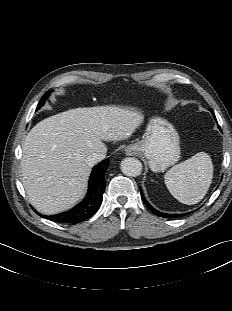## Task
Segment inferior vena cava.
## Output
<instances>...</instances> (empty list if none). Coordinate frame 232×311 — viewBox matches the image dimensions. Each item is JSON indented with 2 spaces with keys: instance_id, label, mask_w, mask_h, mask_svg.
<instances>
[{
  "instance_id": "1",
  "label": "inferior vena cava",
  "mask_w": 232,
  "mask_h": 311,
  "mask_svg": "<svg viewBox=\"0 0 232 311\" xmlns=\"http://www.w3.org/2000/svg\"><path fill=\"white\" fill-rule=\"evenodd\" d=\"M105 154L104 153H93L90 156L87 157L86 162L89 166H94L95 164H97L98 162H100L101 160H103L105 158Z\"/></svg>"
}]
</instances>
